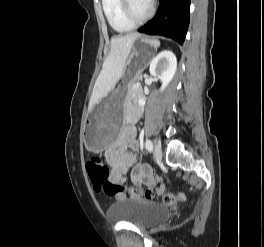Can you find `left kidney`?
<instances>
[{
  "label": "left kidney",
  "instance_id": "left-kidney-1",
  "mask_svg": "<svg viewBox=\"0 0 264 247\" xmlns=\"http://www.w3.org/2000/svg\"><path fill=\"white\" fill-rule=\"evenodd\" d=\"M177 69V59L172 51L160 52L150 63L149 72L162 81L161 91L170 83Z\"/></svg>",
  "mask_w": 264,
  "mask_h": 247
}]
</instances>
